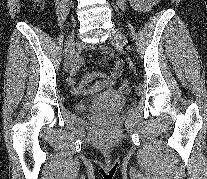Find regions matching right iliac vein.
<instances>
[{
  "mask_svg": "<svg viewBox=\"0 0 207 179\" xmlns=\"http://www.w3.org/2000/svg\"><path fill=\"white\" fill-rule=\"evenodd\" d=\"M74 50V34L71 33L69 36V40L67 42V46H66V56H65V71H68L69 69V64H70V60H71V55L72 52Z\"/></svg>",
  "mask_w": 207,
  "mask_h": 179,
  "instance_id": "1",
  "label": "right iliac vein"
}]
</instances>
